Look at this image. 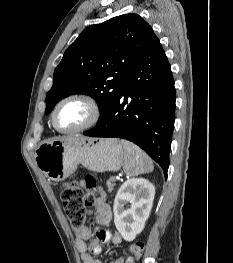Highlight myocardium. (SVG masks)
Instances as JSON below:
<instances>
[{
    "mask_svg": "<svg viewBox=\"0 0 233 263\" xmlns=\"http://www.w3.org/2000/svg\"><path fill=\"white\" fill-rule=\"evenodd\" d=\"M70 101L83 102L89 108L90 116H89L88 120L83 125H81L80 127L76 128V129H72V130H64L58 126L56 117H57V113H58L59 108L64 103L70 102ZM100 116H101V109H100L99 103L93 97H91L87 94H72V95H69V96L63 98L62 100H60L57 103V105L55 106V108L53 110V114H52V124H53L54 128L60 133L76 134V133L83 132V131L93 127L98 122V120L100 119Z\"/></svg>",
    "mask_w": 233,
    "mask_h": 263,
    "instance_id": "f54148a6",
    "label": "myocardium"
}]
</instances>
